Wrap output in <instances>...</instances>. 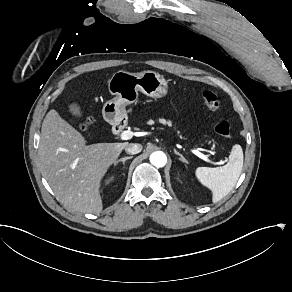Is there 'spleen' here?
Returning <instances> with one entry per match:
<instances>
[{
    "label": "spleen",
    "mask_w": 292,
    "mask_h": 292,
    "mask_svg": "<svg viewBox=\"0 0 292 292\" xmlns=\"http://www.w3.org/2000/svg\"><path fill=\"white\" fill-rule=\"evenodd\" d=\"M243 150L238 144L232 147L229 161L222 167H198V180L213 192V202L224 198L236 185L243 168Z\"/></svg>",
    "instance_id": "spleen-1"
}]
</instances>
